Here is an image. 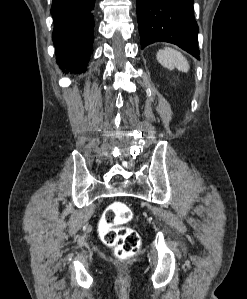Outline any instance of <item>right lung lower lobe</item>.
Listing matches in <instances>:
<instances>
[{
    "label": "right lung lower lobe",
    "mask_w": 247,
    "mask_h": 299,
    "mask_svg": "<svg viewBox=\"0 0 247 299\" xmlns=\"http://www.w3.org/2000/svg\"><path fill=\"white\" fill-rule=\"evenodd\" d=\"M95 0H53V42L64 71L82 73L90 60Z\"/></svg>",
    "instance_id": "98d812e1"
}]
</instances>
